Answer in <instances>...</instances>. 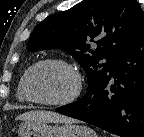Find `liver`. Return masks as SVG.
<instances>
[{
	"label": "liver",
	"mask_w": 144,
	"mask_h": 137,
	"mask_svg": "<svg viewBox=\"0 0 144 137\" xmlns=\"http://www.w3.org/2000/svg\"><path fill=\"white\" fill-rule=\"evenodd\" d=\"M16 120L25 122H48V123L74 122L73 119L52 111H29L17 116Z\"/></svg>",
	"instance_id": "6515ba94"
}]
</instances>
